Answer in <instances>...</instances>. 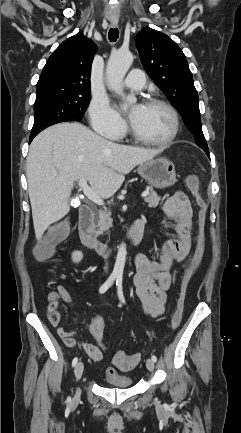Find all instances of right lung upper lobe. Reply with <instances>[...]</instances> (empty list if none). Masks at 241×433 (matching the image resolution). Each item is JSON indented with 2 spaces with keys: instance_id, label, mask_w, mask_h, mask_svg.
I'll return each instance as SVG.
<instances>
[{
  "instance_id": "cb5924a9",
  "label": "right lung upper lobe",
  "mask_w": 241,
  "mask_h": 433,
  "mask_svg": "<svg viewBox=\"0 0 241 433\" xmlns=\"http://www.w3.org/2000/svg\"><path fill=\"white\" fill-rule=\"evenodd\" d=\"M94 43L78 33L61 43L47 60L37 82L36 98L90 94Z\"/></svg>"
}]
</instances>
